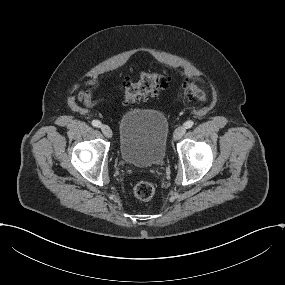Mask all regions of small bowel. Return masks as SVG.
Listing matches in <instances>:
<instances>
[{"instance_id": "1", "label": "small bowel", "mask_w": 285, "mask_h": 285, "mask_svg": "<svg viewBox=\"0 0 285 285\" xmlns=\"http://www.w3.org/2000/svg\"><path fill=\"white\" fill-rule=\"evenodd\" d=\"M99 87V82L97 79L88 80L84 89L80 90L77 94V99L88 107L96 106L104 101L103 98H94V93Z\"/></svg>"}]
</instances>
